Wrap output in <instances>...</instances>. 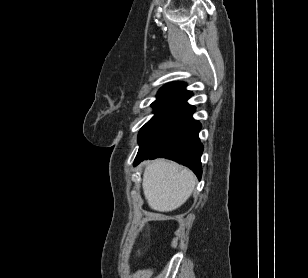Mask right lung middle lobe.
<instances>
[{"instance_id": "right-lung-middle-lobe-1", "label": "right lung middle lobe", "mask_w": 308, "mask_h": 278, "mask_svg": "<svg viewBox=\"0 0 308 278\" xmlns=\"http://www.w3.org/2000/svg\"><path fill=\"white\" fill-rule=\"evenodd\" d=\"M175 116H164V115H155L152 117L140 130L138 135V143L141 146L149 139L157 135L162 131L167 125H169L174 119Z\"/></svg>"}]
</instances>
